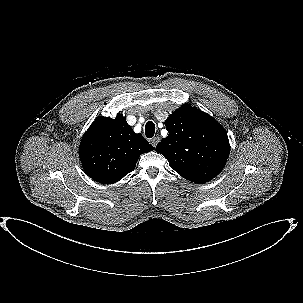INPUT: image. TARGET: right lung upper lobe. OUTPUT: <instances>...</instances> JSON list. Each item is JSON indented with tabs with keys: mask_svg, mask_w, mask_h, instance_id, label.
I'll return each instance as SVG.
<instances>
[{
	"mask_svg": "<svg viewBox=\"0 0 303 303\" xmlns=\"http://www.w3.org/2000/svg\"><path fill=\"white\" fill-rule=\"evenodd\" d=\"M141 134H136L123 115L98 117L83 135L79 155L85 173L99 183L121 180L136 166L139 156L152 151Z\"/></svg>",
	"mask_w": 303,
	"mask_h": 303,
	"instance_id": "right-lung-upper-lobe-1",
	"label": "right lung upper lobe"
}]
</instances>
